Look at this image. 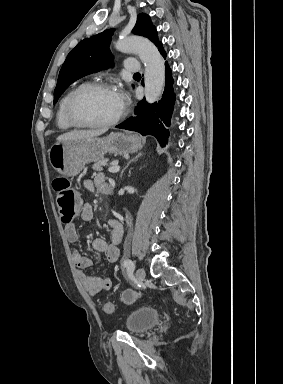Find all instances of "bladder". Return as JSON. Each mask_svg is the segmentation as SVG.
I'll return each mask as SVG.
<instances>
[{
  "instance_id": "1",
  "label": "bladder",
  "mask_w": 283,
  "mask_h": 384,
  "mask_svg": "<svg viewBox=\"0 0 283 384\" xmlns=\"http://www.w3.org/2000/svg\"><path fill=\"white\" fill-rule=\"evenodd\" d=\"M159 322V314L156 309L140 306L129 312L124 325L126 331L134 336L144 334Z\"/></svg>"
}]
</instances>
